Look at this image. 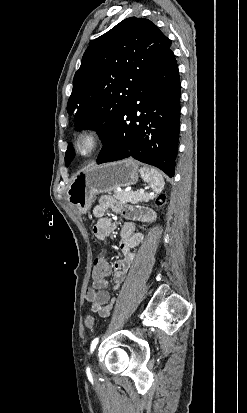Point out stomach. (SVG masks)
<instances>
[{
	"label": "stomach",
	"mask_w": 247,
	"mask_h": 413,
	"mask_svg": "<svg viewBox=\"0 0 247 413\" xmlns=\"http://www.w3.org/2000/svg\"><path fill=\"white\" fill-rule=\"evenodd\" d=\"M138 180V166L133 158L89 164L72 178L67 190V200L80 213H88L94 194L110 192L117 186H129Z\"/></svg>",
	"instance_id": "0dacf381"
}]
</instances>
